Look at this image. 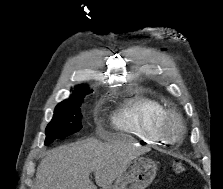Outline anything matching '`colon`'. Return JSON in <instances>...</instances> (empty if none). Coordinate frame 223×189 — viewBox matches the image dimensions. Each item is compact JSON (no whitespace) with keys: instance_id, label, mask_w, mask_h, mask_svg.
Returning <instances> with one entry per match:
<instances>
[{"instance_id":"obj_1","label":"colon","mask_w":223,"mask_h":189,"mask_svg":"<svg viewBox=\"0 0 223 189\" xmlns=\"http://www.w3.org/2000/svg\"><path fill=\"white\" fill-rule=\"evenodd\" d=\"M172 170L175 174L180 175L186 172V166L181 161H174L172 164Z\"/></svg>"}]
</instances>
